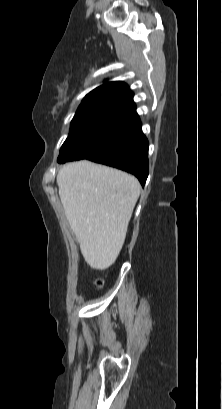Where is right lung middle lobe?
<instances>
[{
  "label": "right lung middle lobe",
  "mask_w": 222,
  "mask_h": 409,
  "mask_svg": "<svg viewBox=\"0 0 222 409\" xmlns=\"http://www.w3.org/2000/svg\"><path fill=\"white\" fill-rule=\"evenodd\" d=\"M126 111L124 107L78 109L71 122L69 136L60 149L58 162L80 160L92 154Z\"/></svg>",
  "instance_id": "obj_1"
}]
</instances>
